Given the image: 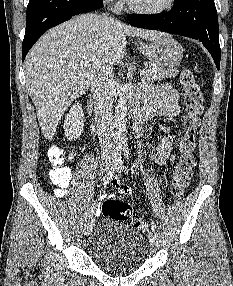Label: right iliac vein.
I'll return each instance as SVG.
<instances>
[{"instance_id": "obj_1", "label": "right iliac vein", "mask_w": 233, "mask_h": 286, "mask_svg": "<svg viewBox=\"0 0 233 286\" xmlns=\"http://www.w3.org/2000/svg\"><path fill=\"white\" fill-rule=\"evenodd\" d=\"M111 167V159L110 158H106L103 161V168L105 171L109 170V168ZM94 226V220L91 219L90 221L87 222L86 226H85V235H90L92 232Z\"/></svg>"}]
</instances>
